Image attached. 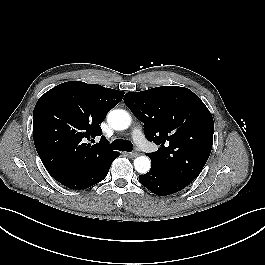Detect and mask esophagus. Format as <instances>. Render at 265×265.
Returning <instances> with one entry per match:
<instances>
[{"mask_svg": "<svg viewBox=\"0 0 265 265\" xmlns=\"http://www.w3.org/2000/svg\"><path fill=\"white\" fill-rule=\"evenodd\" d=\"M138 155L137 152H130V153H127V156H129L130 158H134Z\"/></svg>", "mask_w": 265, "mask_h": 265, "instance_id": "esophagus-1", "label": "esophagus"}]
</instances>
